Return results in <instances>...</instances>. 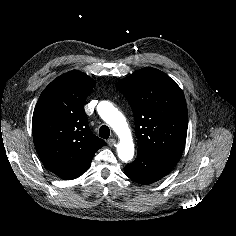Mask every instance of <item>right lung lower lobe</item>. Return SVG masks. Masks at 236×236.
I'll return each instance as SVG.
<instances>
[{"instance_id": "98d812e1", "label": "right lung lower lobe", "mask_w": 236, "mask_h": 236, "mask_svg": "<svg viewBox=\"0 0 236 236\" xmlns=\"http://www.w3.org/2000/svg\"><path fill=\"white\" fill-rule=\"evenodd\" d=\"M83 173H84V172H83ZM83 173L76 174V175H74V176H70V177H68V178H66V179H75V178L81 176Z\"/></svg>"}]
</instances>
